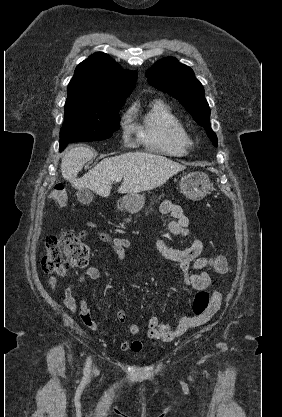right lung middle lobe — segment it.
<instances>
[{
  "label": "right lung middle lobe",
  "instance_id": "right-lung-middle-lobe-1",
  "mask_svg": "<svg viewBox=\"0 0 282 417\" xmlns=\"http://www.w3.org/2000/svg\"><path fill=\"white\" fill-rule=\"evenodd\" d=\"M129 95H68L60 147L68 143L110 138L120 127L119 110Z\"/></svg>",
  "mask_w": 282,
  "mask_h": 417
}]
</instances>
